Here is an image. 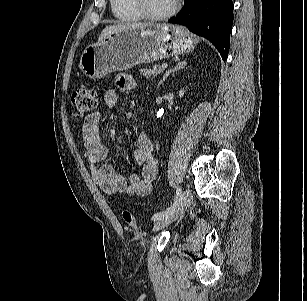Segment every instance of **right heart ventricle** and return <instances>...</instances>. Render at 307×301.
Returning <instances> with one entry per match:
<instances>
[{
    "label": "right heart ventricle",
    "instance_id": "obj_1",
    "mask_svg": "<svg viewBox=\"0 0 307 301\" xmlns=\"http://www.w3.org/2000/svg\"><path fill=\"white\" fill-rule=\"evenodd\" d=\"M114 16L122 22H134L142 18L131 0H110Z\"/></svg>",
    "mask_w": 307,
    "mask_h": 301
}]
</instances>
